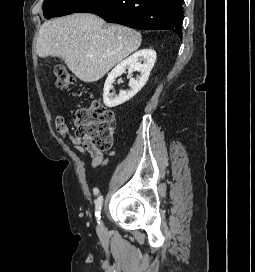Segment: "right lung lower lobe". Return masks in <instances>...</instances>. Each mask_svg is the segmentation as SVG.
<instances>
[{
	"label": "right lung lower lobe",
	"mask_w": 255,
	"mask_h": 272,
	"mask_svg": "<svg viewBox=\"0 0 255 272\" xmlns=\"http://www.w3.org/2000/svg\"><path fill=\"white\" fill-rule=\"evenodd\" d=\"M183 0H90L75 13H93L140 30H173L182 38Z\"/></svg>",
	"instance_id": "1"
}]
</instances>
